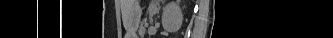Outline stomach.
Segmentation results:
<instances>
[{
    "instance_id": "obj_1",
    "label": "stomach",
    "mask_w": 333,
    "mask_h": 38,
    "mask_svg": "<svg viewBox=\"0 0 333 38\" xmlns=\"http://www.w3.org/2000/svg\"><path fill=\"white\" fill-rule=\"evenodd\" d=\"M139 21H140V11L138 10L135 14V24H136V26H138Z\"/></svg>"
}]
</instances>
